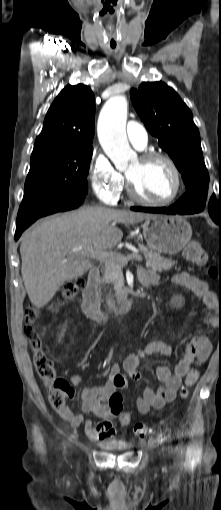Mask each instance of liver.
Returning a JSON list of instances; mask_svg holds the SVG:
<instances>
[{
	"label": "liver",
	"instance_id": "6515ba94",
	"mask_svg": "<svg viewBox=\"0 0 221 510\" xmlns=\"http://www.w3.org/2000/svg\"><path fill=\"white\" fill-rule=\"evenodd\" d=\"M154 215L105 207H84L42 219L21 238V274L31 303L44 307L67 281L86 273L88 249L105 251L123 237L116 223H138ZM82 248L71 252L72 249Z\"/></svg>",
	"mask_w": 221,
	"mask_h": 510
}]
</instances>
